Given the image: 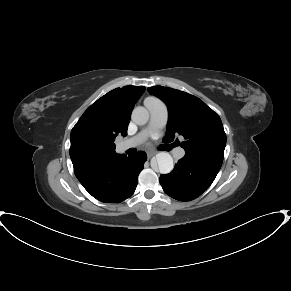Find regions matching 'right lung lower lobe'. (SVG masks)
I'll return each instance as SVG.
<instances>
[{
	"mask_svg": "<svg viewBox=\"0 0 291 291\" xmlns=\"http://www.w3.org/2000/svg\"><path fill=\"white\" fill-rule=\"evenodd\" d=\"M147 159L145 152L117 155L74 167V173L84 188L101 202L119 203L130 197L137 186L138 175Z\"/></svg>",
	"mask_w": 291,
	"mask_h": 291,
	"instance_id": "1",
	"label": "right lung lower lobe"
}]
</instances>
